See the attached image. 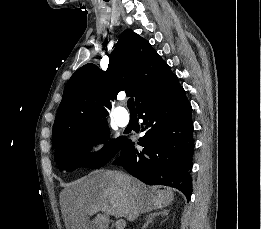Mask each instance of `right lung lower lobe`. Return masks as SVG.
I'll list each match as a JSON object with an SVG mask.
<instances>
[{
	"instance_id": "right-lung-lower-lobe-1",
	"label": "right lung lower lobe",
	"mask_w": 261,
	"mask_h": 229,
	"mask_svg": "<svg viewBox=\"0 0 261 229\" xmlns=\"http://www.w3.org/2000/svg\"><path fill=\"white\" fill-rule=\"evenodd\" d=\"M145 135L138 144L126 141L113 164L148 185H165L180 190L189 201L192 194L194 152L192 107L175 75L155 95L137 107Z\"/></svg>"
}]
</instances>
